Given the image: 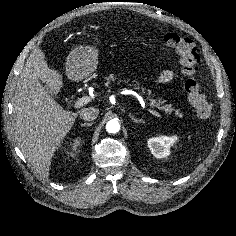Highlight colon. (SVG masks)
<instances>
[{"label": "colon", "mask_w": 236, "mask_h": 236, "mask_svg": "<svg viewBox=\"0 0 236 236\" xmlns=\"http://www.w3.org/2000/svg\"><path fill=\"white\" fill-rule=\"evenodd\" d=\"M166 46L173 49L180 57L182 71L186 76L185 90L190 104L200 118H208L212 113V105L202 93L198 72L199 56L194 42L175 33H167L163 36Z\"/></svg>", "instance_id": "obj_1"}]
</instances>
